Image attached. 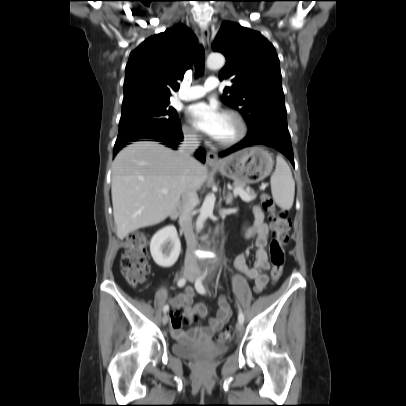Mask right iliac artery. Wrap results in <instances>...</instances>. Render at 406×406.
I'll list each match as a JSON object with an SVG mask.
<instances>
[{"label":"right iliac artery","mask_w":406,"mask_h":406,"mask_svg":"<svg viewBox=\"0 0 406 406\" xmlns=\"http://www.w3.org/2000/svg\"><path fill=\"white\" fill-rule=\"evenodd\" d=\"M178 287H183L185 284H186V279L185 278H180L179 280H178ZM169 310V306L168 305H165L164 307H163V311H164V313H166L167 311Z\"/></svg>","instance_id":"right-iliac-artery-1"}]
</instances>
